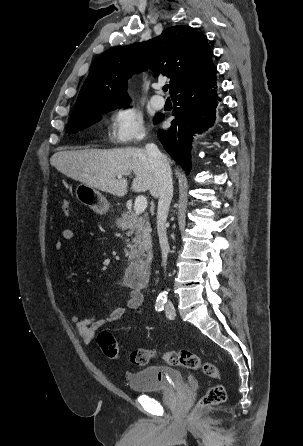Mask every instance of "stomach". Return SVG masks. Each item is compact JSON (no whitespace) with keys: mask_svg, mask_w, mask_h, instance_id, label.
<instances>
[{"mask_svg":"<svg viewBox=\"0 0 303 446\" xmlns=\"http://www.w3.org/2000/svg\"><path fill=\"white\" fill-rule=\"evenodd\" d=\"M75 195L79 202L88 206L97 214H105L110 208L109 202L100 191L83 183L77 186Z\"/></svg>","mask_w":303,"mask_h":446,"instance_id":"0dacf381","label":"stomach"}]
</instances>
